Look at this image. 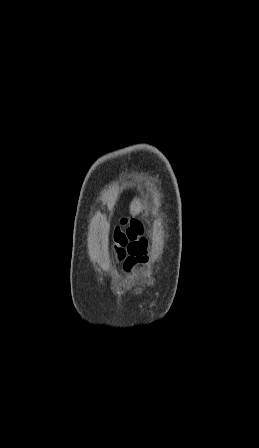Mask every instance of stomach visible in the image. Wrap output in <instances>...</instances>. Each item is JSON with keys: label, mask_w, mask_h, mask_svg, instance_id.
<instances>
[{"label": "stomach", "mask_w": 259, "mask_h": 448, "mask_svg": "<svg viewBox=\"0 0 259 448\" xmlns=\"http://www.w3.org/2000/svg\"><path fill=\"white\" fill-rule=\"evenodd\" d=\"M143 208L144 204L143 202H141V200H133V202H131L130 204L129 212L131 216H138V214L142 212Z\"/></svg>", "instance_id": "1"}]
</instances>
